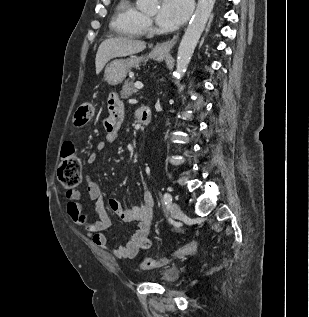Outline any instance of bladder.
I'll list each match as a JSON object with an SVG mask.
<instances>
[{
	"mask_svg": "<svg viewBox=\"0 0 309 317\" xmlns=\"http://www.w3.org/2000/svg\"><path fill=\"white\" fill-rule=\"evenodd\" d=\"M181 270L175 266L165 267L158 275V279L164 283H173L179 279Z\"/></svg>",
	"mask_w": 309,
	"mask_h": 317,
	"instance_id": "bladder-1",
	"label": "bladder"
}]
</instances>
